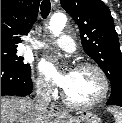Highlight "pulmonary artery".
<instances>
[{
	"label": "pulmonary artery",
	"mask_w": 122,
	"mask_h": 123,
	"mask_svg": "<svg viewBox=\"0 0 122 123\" xmlns=\"http://www.w3.org/2000/svg\"><path fill=\"white\" fill-rule=\"evenodd\" d=\"M49 45H55L67 52H74L76 50V45L74 40L68 35H62L58 39L50 42H39L34 45V48L41 49Z\"/></svg>",
	"instance_id": "e3ab8cb5"
}]
</instances>
